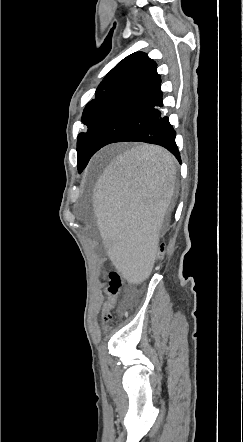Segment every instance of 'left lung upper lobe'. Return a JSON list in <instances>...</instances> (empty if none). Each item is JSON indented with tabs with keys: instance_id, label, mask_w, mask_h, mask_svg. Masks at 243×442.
Returning <instances> with one entry per match:
<instances>
[{
	"instance_id": "left-lung-upper-lobe-1",
	"label": "left lung upper lobe",
	"mask_w": 243,
	"mask_h": 442,
	"mask_svg": "<svg viewBox=\"0 0 243 442\" xmlns=\"http://www.w3.org/2000/svg\"><path fill=\"white\" fill-rule=\"evenodd\" d=\"M155 68L156 63L146 54L135 52L121 60L104 77L96 89L95 99L86 105L81 118L86 129L85 132L78 135L77 141L79 172L87 165L84 162L85 151L103 119L126 94L143 82Z\"/></svg>"
}]
</instances>
